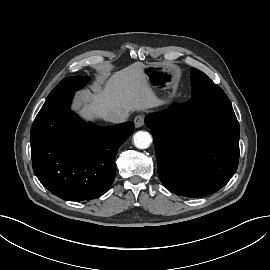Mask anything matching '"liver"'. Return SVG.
Segmentation results:
<instances>
[{"label":"liver","mask_w":270,"mask_h":270,"mask_svg":"<svg viewBox=\"0 0 270 270\" xmlns=\"http://www.w3.org/2000/svg\"><path fill=\"white\" fill-rule=\"evenodd\" d=\"M82 101L81 111L89 119H105L107 113L115 110L130 112L163 104L150 87L140 62L115 72L104 88L96 87L94 93L84 92Z\"/></svg>","instance_id":"liver-1"}]
</instances>
